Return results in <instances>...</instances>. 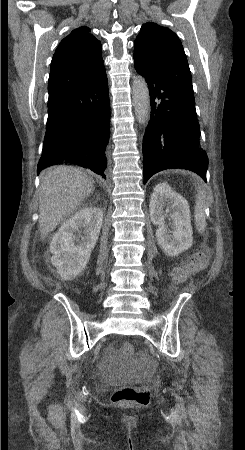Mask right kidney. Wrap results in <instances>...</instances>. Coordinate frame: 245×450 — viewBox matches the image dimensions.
I'll list each match as a JSON object with an SVG mask.
<instances>
[{
  "label": "right kidney",
  "mask_w": 245,
  "mask_h": 450,
  "mask_svg": "<svg viewBox=\"0 0 245 450\" xmlns=\"http://www.w3.org/2000/svg\"><path fill=\"white\" fill-rule=\"evenodd\" d=\"M103 223L99 208L86 207L66 220L50 243L51 263L62 279L79 275L90 259ZM84 234V235H82Z\"/></svg>",
  "instance_id": "obj_1"
}]
</instances>
